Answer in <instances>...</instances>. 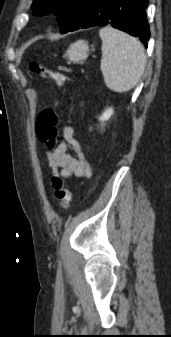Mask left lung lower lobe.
<instances>
[{
	"mask_svg": "<svg viewBox=\"0 0 171 337\" xmlns=\"http://www.w3.org/2000/svg\"><path fill=\"white\" fill-rule=\"evenodd\" d=\"M147 5L148 0H85L76 23L69 31L111 25L139 37L147 47L150 38L145 12Z\"/></svg>",
	"mask_w": 171,
	"mask_h": 337,
	"instance_id": "0a47b994",
	"label": "left lung lower lobe"
}]
</instances>
